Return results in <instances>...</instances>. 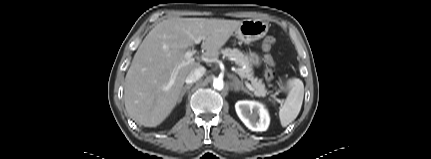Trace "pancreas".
<instances>
[{"mask_svg":"<svg viewBox=\"0 0 431 159\" xmlns=\"http://www.w3.org/2000/svg\"><path fill=\"white\" fill-rule=\"evenodd\" d=\"M223 57L233 58L236 65L239 67L238 74L241 78H247L251 81L254 94L258 97H265L267 94V90L265 89V85L262 83V80H258L253 77V72L251 68V64L248 58L238 49H230L225 48L221 50Z\"/></svg>","mask_w":431,"mask_h":159,"instance_id":"cf45deb5","label":"pancreas"}]
</instances>
